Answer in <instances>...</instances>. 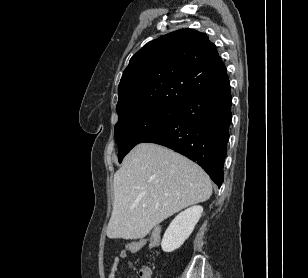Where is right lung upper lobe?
Instances as JSON below:
<instances>
[{"label": "right lung upper lobe", "instance_id": "right-lung-upper-lobe-1", "mask_svg": "<svg viewBox=\"0 0 308 278\" xmlns=\"http://www.w3.org/2000/svg\"><path fill=\"white\" fill-rule=\"evenodd\" d=\"M228 81L206 34L193 29L168 33L132 56L118 87L119 120L148 108L179 107Z\"/></svg>", "mask_w": 308, "mask_h": 278}]
</instances>
